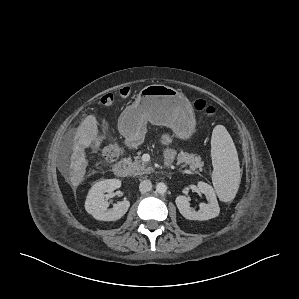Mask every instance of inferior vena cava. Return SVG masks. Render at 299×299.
<instances>
[{"label": "inferior vena cava", "instance_id": "obj_1", "mask_svg": "<svg viewBox=\"0 0 299 299\" xmlns=\"http://www.w3.org/2000/svg\"><path fill=\"white\" fill-rule=\"evenodd\" d=\"M152 188V183L150 180L146 179L140 182L139 190L141 193H146Z\"/></svg>", "mask_w": 299, "mask_h": 299}]
</instances>
